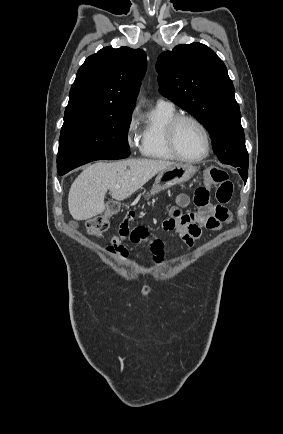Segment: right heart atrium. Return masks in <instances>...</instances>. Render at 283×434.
I'll list each match as a JSON object with an SVG mask.
<instances>
[{"instance_id":"obj_1","label":"right heart atrium","mask_w":283,"mask_h":434,"mask_svg":"<svg viewBox=\"0 0 283 434\" xmlns=\"http://www.w3.org/2000/svg\"><path fill=\"white\" fill-rule=\"evenodd\" d=\"M137 122H136V118L135 115H132L127 128H126V132H125V137H126V142L128 144L129 147H134L136 146L137 143Z\"/></svg>"}]
</instances>
